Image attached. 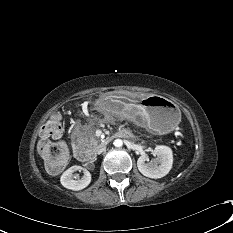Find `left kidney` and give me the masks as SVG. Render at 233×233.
Masks as SVG:
<instances>
[{"label": "left kidney", "mask_w": 233, "mask_h": 233, "mask_svg": "<svg viewBox=\"0 0 233 233\" xmlns=\"http://www.w3.org/2000/svg\"><path fill=\"white\" fill-rule=\"evenodd\" d=\"M153 154L156 156L151 162H146L147 156L141 155L137 160L138 170L146 177L157 179L169 173L173 164L171 148L163 145L155 147Z\"/></svg>", "instance_id": "5707ae66"}]
</instances>
